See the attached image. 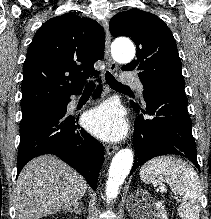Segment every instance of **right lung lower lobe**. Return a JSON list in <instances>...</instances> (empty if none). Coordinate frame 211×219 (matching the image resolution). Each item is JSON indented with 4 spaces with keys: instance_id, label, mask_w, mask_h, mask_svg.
Returning a JSON list of instances; mask_svg holds the SVG:
<instances>
[{
    "instance_id": "obj_1",
    "label": "right lung lower lobe",
    "mask_w": 211,
    "mask_h": 219,
    "mask_svg": "<svg viewBox=\"0 0 211 219\" xmlns=\"http://www.w3.org/2000/svg\"><path fill=\"white\" fill-rule=\"evenodd\" d=\"M101 91V86H98L94 98H98ZM70 101L69 96L53 106L22 116L17 175L32 158L53 154L76 169L95 190L103 164L104 147L80 128L78 118L67 114Z\"/></svg>"
}]
</instances>
